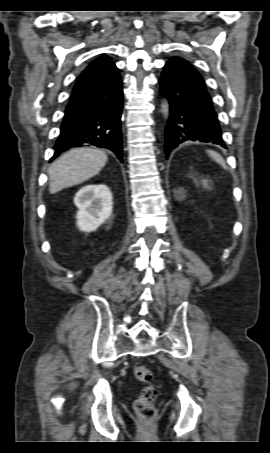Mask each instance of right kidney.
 <instances>
[{"mask_svg": "<svg viewBox=\"0 0 270 453\" xmlns=\"http://www.w3.org/2000/svg\"><path fill=\"white\" fill-rule=\"evenodd\" d=\"M78 207L77 226L81 231H95L112 213V194L106 185L89 184L75 195Z\"/></svg>", "mask_w": 270, "mask_h": 453, "instance_id": "obj_1", "label": "right kidney"}]
</instances>
